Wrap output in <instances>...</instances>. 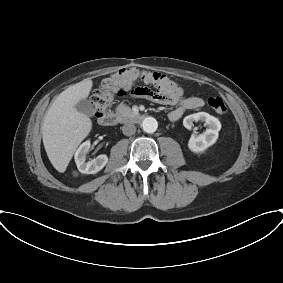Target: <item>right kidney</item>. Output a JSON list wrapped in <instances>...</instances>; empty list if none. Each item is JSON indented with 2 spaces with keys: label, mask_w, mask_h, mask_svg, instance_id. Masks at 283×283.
<instances>
[{
  "label": "right kidney",
  "mask_w": 283,
  "mask_h": 283,
  "mask_svg": "<svg viewBox=\"0 0 283 283\" xmlns=\"http://www.w3.org/2000/svg\"><path fill=\"white\" fill-rule=\"evenodd\" d=\"M90 141L83 142L75 152V163L78 170L84 174H95L102 170L108 162L107 155H99L96 159L86 162V155L90 148Z\"/></svg>",
  "instance_id": "obj_1"
}]
</instances>
